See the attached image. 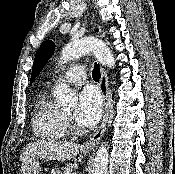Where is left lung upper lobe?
Returning a JSON list of instances; mask_svg holds the SVG:
<instances>
[{
    "instance_id": "obj_1",
    "label": "left lung upper lobe",
    "mask_w": 175,
    "mask_h": 174,
    "mask_svg": "<svg viewBox=\"0 0 175 174\" xmlns=\"http://www.w3.org/2000/svg\"><path fill=\"white\" fill-rule=\"evenodd\" d=\"M54 48V43L49 40L44 42L37 51L32 68L31 83L33 82V79L40 73L45 62L51 57Z\"/></svg>"
}]
</instances>
